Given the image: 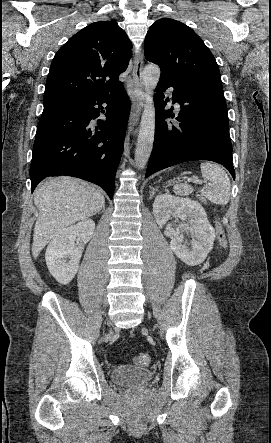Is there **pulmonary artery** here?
I'll list each match as a JSON object with an SVG mask.
<instances>
[{"mask_svg": "<svg viewBox=\"0 0 271 443\" xmlns=\"http://www.w3.org/2000/svg\"><path fill=\"white\" fill-rule=\"evenodd\" d=\"M170 96H171V93H170ZM174 106H175L176 108H179V104H178L177 102H175Z\"/></svg>", "mask_w": 271, "mask_h": 443, "instance_id": "e3ab8cb5", "label": "pulmonary artery"}]
</instances>
